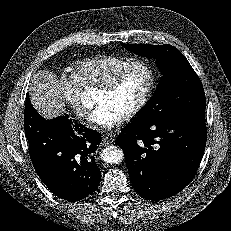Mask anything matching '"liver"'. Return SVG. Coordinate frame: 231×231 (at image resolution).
<instances>
[{
    "label": "liver",
    "mask_w": 231,
    "mask_h": 231,
    "mask_svg": "<svg viewBox=\"0 0 231 231\" xmlns=\"http://www.w3.org/2000/svg\"><path fill=\"white\" fill-rule=\"evenodd\" d=\"M29 94L33 107L45 119H54L64 114L65 105L59 91V82L53 73L39 71L34 74Z\"/></svg>",
    "instance_id": "6515ba94"
}]
</instances>
